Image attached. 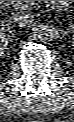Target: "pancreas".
<instances>
[{"mask_svg":"<svg viewBox=\"0 0 74 122\" xmlns=\"http://www.w3.org/2000/svg\"><path fill=\"white\" fill-rule=\"evenodd\" d=\"M40 2V1H38ZM36 1H11L12 7L15 9H32L34 6H36Z\"/></svg>","mask_w":74,"mask_h":122,"instance_id":"obj_1","label":"pancreas"}]
</instances>
